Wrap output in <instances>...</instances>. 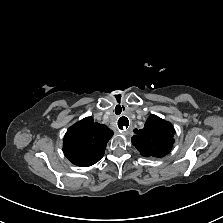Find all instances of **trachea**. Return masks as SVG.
I'll list each match as a JSON object with an SVG mask.
<instances>
[{
	"mask_svg": "<svg viewBox=\"0 0 223 223\" xmlns=\"http://www.w3.org/2000/svg\"><path fill=\"white\" fill-rule=\"evenodd\" d=\"M117 107H118V106H117ZM117 107L115 108V113L118 115V114H120V112H117V111H116Z\"/></svg>",
	"mask_w": 223,
	"mask_h": 223,
	"instance_id": "obj_1",
	"label": "trachea"
}]
</instances>
